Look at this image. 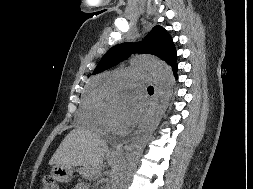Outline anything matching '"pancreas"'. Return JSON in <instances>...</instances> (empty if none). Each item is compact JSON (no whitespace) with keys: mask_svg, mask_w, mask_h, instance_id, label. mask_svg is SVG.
Returning a JSON list of instances; mask_svg holds the SVG:
<instances>
[{"mask_svg":"<svg viewBox=\"0 0 253 189\" xmlns=\"http://www.w3.org/2000/svg\"><path fill=\"white\" fill-rule=\"evenodd\" d=\"M80 174L85 178L92 179L95 176V171L88 166H84L80 169Z\"/></svg>","mask_w":253,"mask_h":189,"instance_id":"1","label":"pancreas"}]
</instances>
